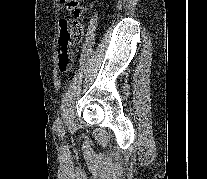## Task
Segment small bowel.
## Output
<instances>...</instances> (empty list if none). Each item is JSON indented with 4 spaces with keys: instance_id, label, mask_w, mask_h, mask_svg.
<instances>
[{
    "instance_id": "c3829d8e",
    "label": "small bowel",
    "mask_w": 207,
    "mask_h": 179,
    "mask_svg": "<svg viewBox=\"0 0 207 179\" xmlns=\"http://www.w3.org/2000/svg\"><path fill=\"white\" fill-rule=\"evenodd\" d=\"M63 21H64V20H61V21H60V25L62 24Z\"/></svg>"
}]
</instances>
